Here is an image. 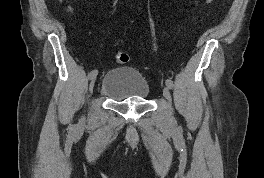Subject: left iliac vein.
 I'll return each instance as SVG.
<instances>
[{
	"instance_id": "obj_1",
	"label": "left iliac vein",
	"mask_w": 264,
	"mask_h": 178,
	"mask_svg": "<svg viewBox=\"0 0 264 178\" xmlns=\"http://www.w3.org/2000/svg\"><path fill=\"white\" fill-rule=\"evenodd\" d=\"M163 96L168 101V103L171 105V94H170V91H169L168 87H164Z\"/></svg>"
}]
</instances>
